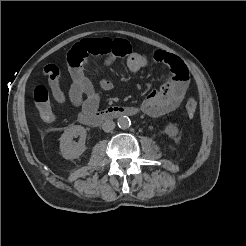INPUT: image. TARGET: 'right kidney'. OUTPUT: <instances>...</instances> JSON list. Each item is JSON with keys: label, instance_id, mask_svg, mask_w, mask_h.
Masks as SVG:
<instances>
[{"label": "right kidney", "instance_id": "obj_1", "mask_svg": "<svg viewBox=\"0 0 246 246\" xmlns=\"http://www.w3.org/2000/svg\"><path fill=\"white\" fill-rule=\"evenodd\" d=\"M80 136L78 143H73L74 137ZM86 130L81 125L69 127L60 138V150L63 158L73 160L79 158L86 150Z\"/></svg>", "mask_w": 246, "mask_h": 246}]
</instances>
